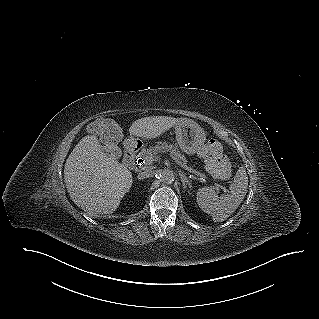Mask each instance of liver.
<instances>
[{"mask_svg":"<svg viewBox=\"0 0 319 319\" xmlns=\"http://www.w3.org/2000/svg\"><path fill=\"white\" fill-rule=\"evenodd\" d=\"M178 122L166 116L145 117L133 122L129 133L153 139ZM64 180L72 201L95 216L114 213L133 183L131 172L106 155L95 135L83 137L75 146L65 163Z\"/></svg>","mask_w":319,"mask_h":319,"instance_id":"1","label":"liver"}]
</instances>
